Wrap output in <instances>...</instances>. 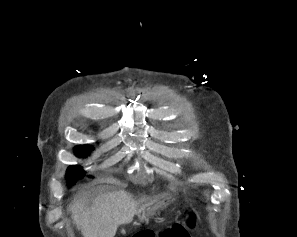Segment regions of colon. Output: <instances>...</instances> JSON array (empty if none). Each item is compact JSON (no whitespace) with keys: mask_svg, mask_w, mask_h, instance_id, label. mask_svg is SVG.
<instances>
[{"mask_svg":"<svg viewBox=\"0 0 297 237\" xmlns=\"http://www.w3.org/2000/svg\"><path fill=\"white\" fill-rule=\"evenodd\" d=\"M186 224L188 227L195 226V216L192 211L186 215ZM133 237H156L153 232L145 231L135 234ZM158 237H189L186 227L181 223H174L158 234Z\"/></svg>","mask_w":297,"mask_h":237,"instance_id":"1","label":"colon"}]
</instances>
